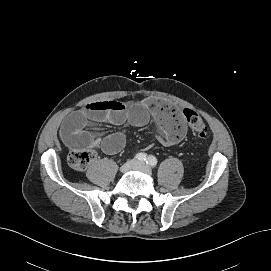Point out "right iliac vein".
Returning a JSON list of instances; mask_svg holds the SVG:
<instances>
[{
  "instance_id": "1",
  "label": "right iliac vein",
  "mask_w": 271,
  "mask_h": 271,
  "mask_svg": "<svg viewBox=\"0 0 271 271\" xmlns=\"http://www.w3.org/2000/svg\"><path fill=\"white\" fill-rule=\"evenodd\" d=\"M137 162L135 160H129L120 167V171L125 173L131 169H135Z\"/></svg>"
}]
</instances>
